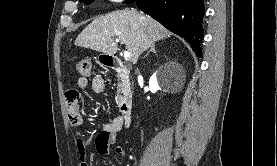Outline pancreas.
<instances>
[{
	"label": "pancreas",
	"instance_id": "obj_1",
	"mask_svg": "<svg viewBox=\"0 0 277 166\" xmlns=\"http://www.w3.org/2000/svg\"><path fill=\"white\" fill-rule=\"evenodd\" d=\"M118 86H119V90H123V88H124V84L123 83H119ZM122 98L123 97L118 92L117 95H116V98H115L116 103L119 104L120 101L122 100Z\"/></svg>",
	"mask_w": 277,
	"mask_h": 166
}]
</instances>
